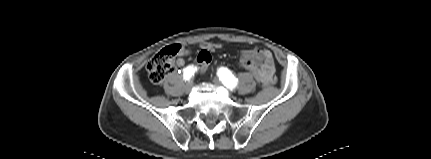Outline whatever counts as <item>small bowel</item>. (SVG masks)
Listing matches in <instances>:
<instances>
[{"instance_id":"1","label":"small bowel","mask_w":431,"mask_h":159,"mask_svg":"<svg viewBox=\"0 0 431 159\" xmlns=\"http://www.w3.org/2000/svg\"><path fill=\"white\" fill-rule=\"evenodd\" d=\"M220 47L221 45L218 43L207 42L202 45V50L200 52L210 53L219 49ZM240 62L253 66L254 69L258 70V75H260V79L262 80L261 84H269L275 82V64L272 53L269 50L262 48L243 50L241 52ZM184 64L185 61L181 57L178 58L175 62V65L177 67H183ZM198 79L204 80L205 77L200 78V76L198 75Z\"/></svg>"}]
</instances>
